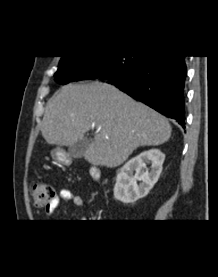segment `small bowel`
<instances>
[{
	"instance_id": "obj_1",
	"label": "small bowel",
	"mask_w": 218,
	"mask_h": 277,
	"mask_svg": "<svg viewBox=\"0 0 218 277\" xmlns=\"http://www.w3.org/2000/svg\"><path fill=\"white\" fill-rule=\"evenodd\" d=\"M62 201L72 202L75 206L78 207H81L84 204L83 198L80 194L75 193L70 189H62L58 195H55L54 199L46 207L47 215H52Z\"/></svg>"
}]
</instances>
